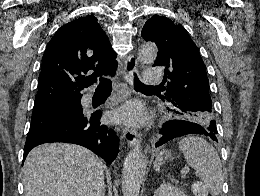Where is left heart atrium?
<instances>
[{
	"label": "left heart atrium",
	"instance_id": "1",
	"mask_svg": "<svg viewBox=\"0 0 260 196\" xmlns=\"http://www.w3.org/2000/svg\"><path fill=\"white\" fill-rule=\"evenodd\" d=\"M115 119L129 125L138 126L145 121L146 116L140 103L137 101H131L124 104L115 113Z\"/></svg>",
	"mask_w": 260,
	"mask_h": 196
}]
</instances>
